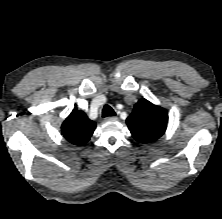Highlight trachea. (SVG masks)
Masks as SVG:
<instances>
[{
	"label": "trachea",
	"instance_id": "1",
	"mask_svg": "<svg viewBox=\"0 0 222 219\" xmlns=\"http://www.w3.org/2000/svg\"><path fill=\"white\" fill-rule=\"evenodd\" d=\"M115 115H116V113L109 105H105L103 107L102 117H109V116H115Z\"/></svg>",
	"mask_w": 222,
	"mask_h": 219
}]
</instances>
